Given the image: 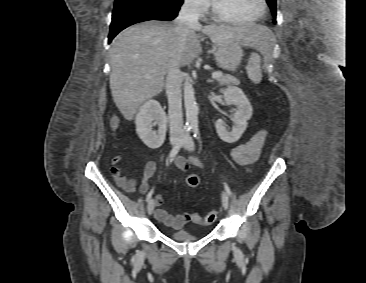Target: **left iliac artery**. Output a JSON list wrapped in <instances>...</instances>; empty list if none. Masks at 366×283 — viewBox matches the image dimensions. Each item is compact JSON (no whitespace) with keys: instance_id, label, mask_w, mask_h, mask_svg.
<instances>
[{"instance_id":"44dca946","label":"left iliac artery","mask_w":366,"mask_h":283,"mask_svg":"<svg viewBox=\"0 0 366 283\" xmlns=\"http://www.w3.org/2000/svg\"><path fill=\"white\" fill-rule=\"evenodd\" d=\"M192 130H193L194 137H196L197 139H200L198 125H193ZM224 187H225L226 192L229 195H231L230 188L228 187V185L226 183H224Z\"/></svg>"}]
</instances>
